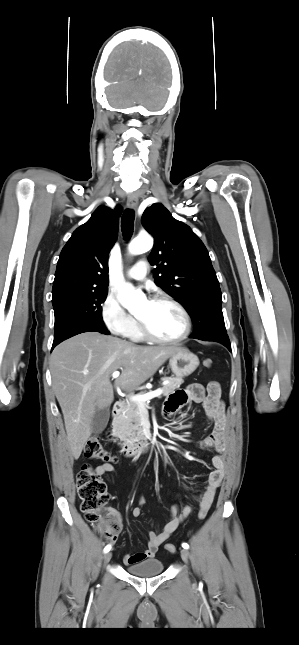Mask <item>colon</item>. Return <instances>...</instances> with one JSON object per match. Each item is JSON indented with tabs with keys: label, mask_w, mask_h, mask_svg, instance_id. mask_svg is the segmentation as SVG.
Segmentation results:
<instances>
[{
	"label": "colon",
	"mask_w": 299,
	"mask_h": 645,
	"mask_svg": "<svg viewBox=\"0 0 299 645\" xmlns=\"http://www.w3.org/2000/svg\"><path fill=\"white\" fill-rule=\"evenodd\" d=\"M212 360L207 358L203 361L206 368L212 367ZM84 455L88 459L101 460L103 462H115L116 457L107 452L99 438H90L85 446ZM78 495L81 499V510L85 519L97 527L107 540H114L120 530V525L114 521L107 507L109 494L105 483L89 465H83L76 477ZM207 511L200 509L198 519L204 520ZM166 550L170 553L176 552V546L167 544Z\"/></svg>",
	"instance_id": "1"
}]
</instances>
